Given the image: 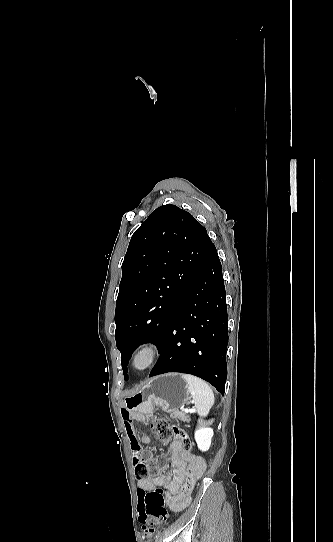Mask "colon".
<instances>
[{"label": "colon", "instance_id": "obj_1", "mask_svg": "<svg viewBox=\"0 0 333 542\" xmlns=\"http://www.w3.org/2000/svg\"><path fill=\"white\" fill-rule=\"evenodd\" d=\"M150 428L163 444L170 443L174 437L175 439H181L183 447H191V443L186 437V430L180 428L175 422H169L162 416H156L151 420ZM135 472L139 478L148 477L152 472L150 462L148 460L139 462L135 467ZM139 499L141 504L138 509V520L142 529L153 535L157 526L169 518L164 493L160 489L147 492L140 491Z\"/></svg>", "mask_w": 333, "mask_h": 542}]
</instances>
